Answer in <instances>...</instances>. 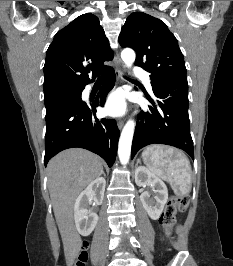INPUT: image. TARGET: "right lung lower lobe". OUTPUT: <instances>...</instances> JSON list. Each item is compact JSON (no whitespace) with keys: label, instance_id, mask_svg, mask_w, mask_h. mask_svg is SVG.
<instances>
[{"label":"right lung lower lobe","instance_id":"1","mask_svg":"<svg viewBox=\"0 0 233 266\" xmlns=\"http://www.w3.org/2000/svg\"><path fill=\"white\" fill-rule=\"evenodd\" d=\"M103 73V87L91 104H86L80 98L46 111L45 166L58 152L72 147L90 150L101 156L109 167L113 165L119 129L114 119H98L95 115L96 107L104 105L106 95L115 82L112 67H108Z\"/></svg>","mask_w":233,"mask_h":266}]
</instances>
